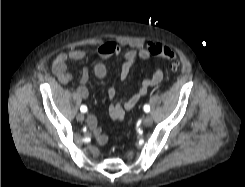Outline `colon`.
I'll use <instances>...</instances> for the list:
<instances>
[{
  "instance_id": "5ec220e1",
  "label": "colon",
  "mask_w": 245,
  "mask_h": 187,
  "mask_svg": "<svg viewBox=\"0 0 245 187\" xmlns=\"http://www.w3.org/2000/svg\"><path fill=\"white\" fill-rule=\"evenodd\" d=\"M149 51L153 56L162 58L166 61H168L171 65L172 70H176L179 62L177 59V55L174 52V50H172L171 48H169L168 46L165 45H151L149 47Z\"/></svg>"
}]
</instances>
